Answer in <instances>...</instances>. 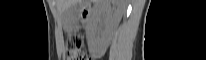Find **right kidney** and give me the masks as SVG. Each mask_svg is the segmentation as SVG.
<instances>
[{
    "instance_id": "obj_1",
    "label": "right kidney",
    "mask_w": 206,
    "mask_h": 60,
    "mask_svg": "<svg viewBox=\"0 0 206 60\" xmlns=\"http://www.w3.org/2000/svg\"><path fill=\"white\" fill-rule=\"evenodd\" d=\"M122 13V3L119 0H102L96 4L89 28V44L92 47L98 50L108 47Z\"/></svg>"
}]
</instances>
